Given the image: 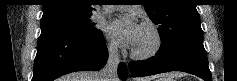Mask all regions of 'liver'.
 Segmentation results:
<instances>
[{"mask_svg":"<svg viewBox=\"0 0 237 81\" xmlns=\"http://www.w3.org/2000/svg\"><path fill=\"white\" fill-rule=\"evenodd\" d=\"M100 73L92 71H80L70 73L60 78V81H100ZM137 81H148L146 79H138Z\"/></svg>","mask_w":237,"mask_h":81,"instance_id":"liver-1","label":"liver"}]
</instances>
